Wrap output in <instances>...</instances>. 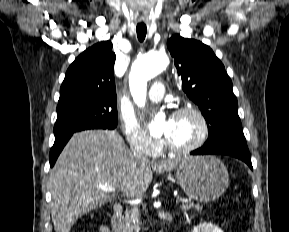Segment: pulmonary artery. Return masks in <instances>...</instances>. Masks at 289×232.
Wrapping results in <instances>:
<instances>
[{
	"mask_svg": "<svg viewBox=\"0 0 289 232\" xmlns=\"http://www.w3.org/2000/svg\"><path fill=\"white\" fill-rule=\"evenodd\" d=\"M164 93V85L161 82H156L150 88L148 92V98L153 102H158L163 98Z\"/></svg>",
	"mask_w": 289,
	"mask_h": 232,
	"instance_id": "1",
	"label": "pulmonary artery"
}]
</instances>
